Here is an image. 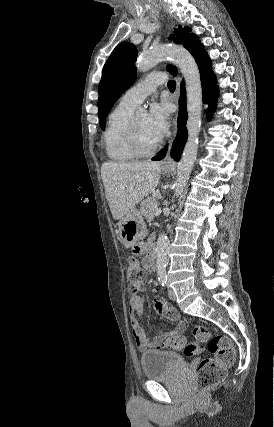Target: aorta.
<instances>
[{"mask_svg": "<svg viewBox=\"0 0 274 427\" xmlns=\"http://www.w3.org/2000/svg\"><path fill=\"white\" fill-rule=\"evenodd\" d=\"M167 57H170L180 69L185 79L187 91L188 120L186 127L188 139L177 166V179L174 189L177 197L186 186L197 156L202 123V86L199 69L194 58L181 46H159L139 54L136 61L137 71L145 72ZM168 255L169 240L166 234L162 233L159 235L156 245V268L159 279L162 281L166 279Z\"/></svg>", "mask_w": 274, "mask_h": 427, "instance_id": "762f6f07", "label": "aorta"}]
</instances>
